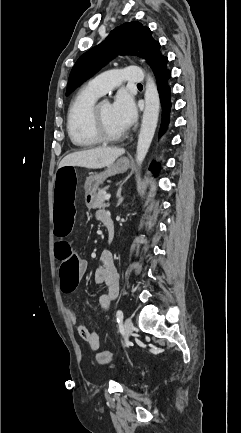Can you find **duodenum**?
<instances>
[{"label": "duodenum", "instance_id": "obj_1", "mask_svg": "<svg viewBox=\"0 0 241 433\" xmlns=\"http://www.w3.org/2000/svg\"><path fill=\"white\" fill-rule=\"evenodd\" d=\"M103 224L107 229L108 241H112L114 236V221L110 215H106L102 219Z\"/></svg>", "mask_w": 241, "mask_h": 433}]
</instances>
